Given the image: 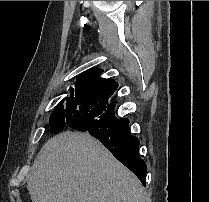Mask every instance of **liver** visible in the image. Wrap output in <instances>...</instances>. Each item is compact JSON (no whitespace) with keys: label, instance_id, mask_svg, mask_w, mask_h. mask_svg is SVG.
Returning <instances> with one entry per match:
<instances>
[{"label":"liver","instance_id":"6515ba94","mask_svg":"<svg viewBox=\"0 0 209 202\" xmlns=\"http://www.w3.org/2000/svg\"><path fill=\"white\" fill-rule=\"evenodd\" d=\"M32 202H145L140 181L87 133L49 139L28 175Z\"/></svg>","mask_w":209,"mask_h":202}]
</instances>
